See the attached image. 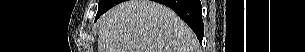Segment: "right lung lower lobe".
<instances>
[{"mask_svg":"<svg viewBox=\"0 0 305 52\" xmlns=\"http://www.w3.org/2000/svg\"><path fill=\"white\" fill-rule=\"evenodd\" d=\"M173 9L195 32L197 38L202 42L204 35V24L201 16L200 0H156ZM122 2V0H109L107 5L99 10L96 20L108 9Z\"/></svg>","mask_w":305,"mask_h":52,"instance_id":"98d812e1","label":"right lung lower lobe"}]
</instances>
